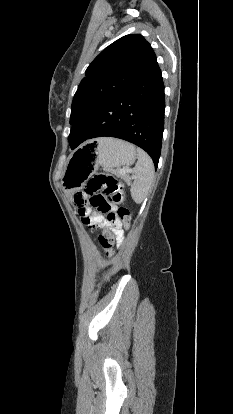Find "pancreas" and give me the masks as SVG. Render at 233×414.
<instances>
[{"label":"pancreas","mask_w":233,"mask_h":414,"mask_svg":"<svg viewBox=\"0 0 233 414\" xmlns=\"http://www.w3.org/2000/svg\"><path fill=\"white\" fill-rule=\"evenodd\" d=\"M115 174H116L118 177H120V178H122L123 180H125L126 182H129V181H130V177H129L126 173H121V172H120V170H116V171H115Z\"/></svg>","instance_id":"1"}]
</instances>
